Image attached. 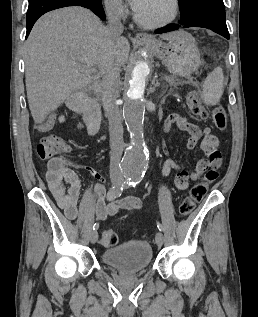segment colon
<instances>
[{
  "mask_svg": "<svg viewBox=\"0 0 258 317\" xmlns=\"http://www.w3.org/2000/svg\"><path fill=\"white\" fill-rule=\"evenodd\" d=\"M187 102L193 115L200 119H207L209 117V113L201 103L199 93L197 91H193L188 95ZM211 117L215 126L219 130H225L227 128V115L223 109H215L212 112ZM70 151L71 146L55 134L42 137L36 147V154L42 160L67 154ZM217 177L218 170L216 168L211 167L206 171L204 181L193 186L189 195L181 202L179 206V212L181 215L187 216L195 209L197 203L204 198L208 189V184L213 182ZM100 242L105 247H112L118 242L117 234L112 229H104L101 233Z\"/></svg>",
  "mask_w": 258,
  "mask_h": 317,
  "instance_id": "5ec220e1",
  "label": "colon"
}]
</instances>
